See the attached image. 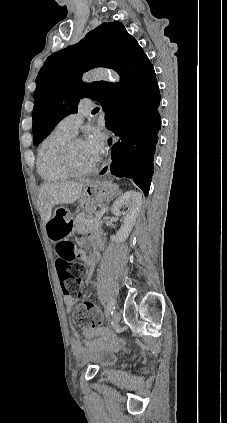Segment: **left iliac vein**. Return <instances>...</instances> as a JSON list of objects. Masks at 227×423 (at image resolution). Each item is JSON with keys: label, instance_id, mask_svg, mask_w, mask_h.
Instances as JSON below:
<instances>
[{"label": "left iliac vein", "instance_id": "left-iliac-vein-1", "mask_svg": "<svg viewBox=\"0 0 227 423\" xmlns=\"http://www.w3.org/2000/svg\"><path fill=\"white\" fill-rule=\"evenodd\" d=\"M120 317H121V314H120V312H119V311H115V312L112 314V318H111V324H112V326H114V325H118V324H119V322H120Z\"/></svg>", "mask_w": 227, "mask_h": 423}]
</instances>
